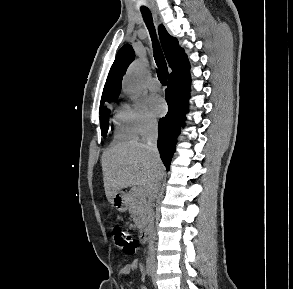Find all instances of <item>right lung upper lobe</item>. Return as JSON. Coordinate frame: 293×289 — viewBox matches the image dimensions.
I'll return each mask as SVG.
<instances>
[{
    "label": "right lung upper lobe",
    "mask_w": 293,
    "mask_h": 289,
    "mask_svg": "<svg viewBox=\"0 0 293 289\" xmlns=\"http://www.w3.org/2000/svg\"><path fill=\"white\" fill-rule=\"evenodd\" d=\"M158 32L166 59L172 69L169 78L188 77L190 64L184 50L179 47L177 39L170 36L163 25L159 26ZM134 57V50L129 44L118 51L105 83L101 102L118 97L123 75Z\"/></svg>",
    "instance_id": "1"
}]
</instances>
